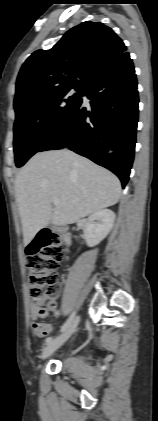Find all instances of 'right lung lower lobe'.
Masks as SVG:
<instances>
[{
	"label": "right lung lower lobe",
	"instance_id": "98d812e1",
	"mask_svg": "<svg viewBox=\"0 0 158 421\" xmlns=\"http://www.w3.org/2000/svg\"><path fill=\"white\" fill-rule=\"evenodd\" d=\"M83 101L37 152L68 147L111 170L125 187L134 158L138 122L137 79L129 53L99 70L84 86Z\"/></svg>",
	"mask_w": 158,
	"mask_h": 421
}]
</instances>
